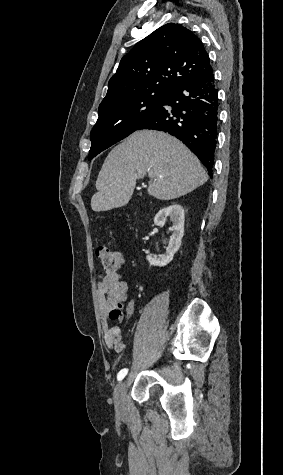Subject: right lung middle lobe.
I'll use <instances>...</instances> for the list:
<instances>
[{
	"instance_id": "1",
	"label": "right lung middle lobe",
	"mask_w": 283,
	"mask_h": 475,
	"mask_svg": "<svg viewBox=\"0 0 283 475\" xmlns=\"http://www.w3.org/2000/svg\"><path fill=\"white\" fill-rule=\"evenodd\" d=\"M166 92L147 93L99 106V118L91 131L88 159L136 131L162 104Z\"/></svg>"
}]
</instances>
